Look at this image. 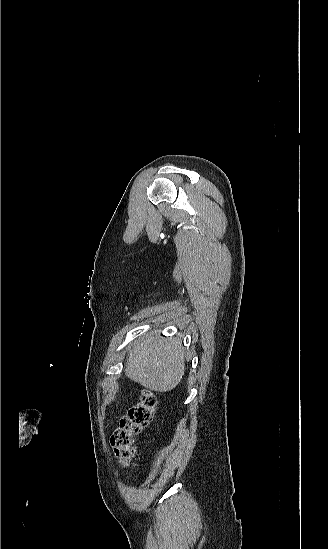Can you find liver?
Here are the masks:
<instances>
[{
  "label": "liver",
  "instance_id": "liver-1",
  "mask_svg": "<svg viewBox=\"0 0 328 549\" xmlns=\"http://www.w3.org/2000/svg\"><path fill=\"white\" fill-rule=\"evenodd\" d=\"M183 351L180 339L161 341V337H144L135 341L125 375L150 391H172L185 373Z\"/></svg>",
  "mask_w": 328,
  "mask_h": 549
}]
</instances>
